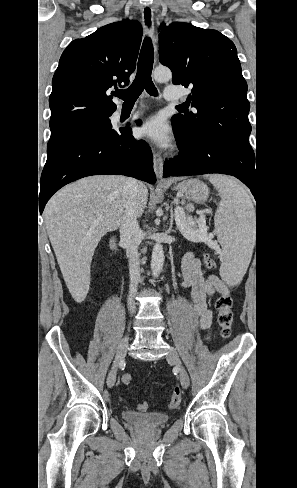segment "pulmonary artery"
I'll list each match as a JSON object with an SVG mask.
<instances>
[{"label":"pulmonary artery","instance_id":"obj_1","mask_svg":"<svg viewBox=\"0 0 297 488\" xmlns=\"http://www.w3.org/2000/svg\"><path fill=\"white\" fill-rule=\"evenodd\" d=\"M164 96H165V99L168 101L180 100V93L172 87H166L165 88Z\"/></svg>","mask_w":297,"mask_h":488}]
</instances>
